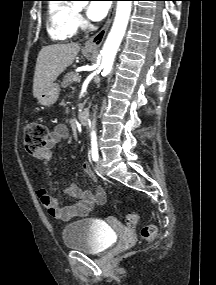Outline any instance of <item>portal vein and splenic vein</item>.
<instances>
[{"mask_svg": "<svg viewBox=\"0 0 216 285\" xmlns=\"http://www.w3.org/2000/svg\"><path fill=\"white\" fill-rule=\"evenodd\" d=\"M73 81H74V82H78V81H79V77H78V76H75V77L73 78Z\"/></svg>", "mask_w": 216, "mask_h": 285, "instance_id": "18ae733b", "label": "portal vein and splenic vein"}]
</instances>
